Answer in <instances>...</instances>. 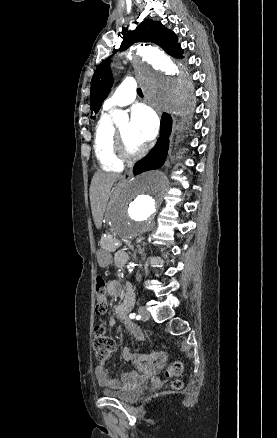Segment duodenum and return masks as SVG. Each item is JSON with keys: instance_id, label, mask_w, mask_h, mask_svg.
<instances>
[{"instance_id": "duodenum-1", "label": "duodenum", "mask_w": 277, "mask_h": 438, "mask_svg": "<svg viewBox=\"0 0 277 438\" xmlns=\"http://www.w3.org/2000/svg\"><path fill=\"white\" fill-rule=\"evenodd\" d=\"M128 260V254L126 252L120 251L116 254L115 262L117 266H123Z\"/></svg>"}]
</instances>
